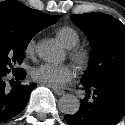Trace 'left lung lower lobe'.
Listing matches in <instances>:
<instances>
[{
  "mask_svg": "<svg viewBox=\"0 0 125 125\" xmlns=\"http://www.w3.org/2000/svg\"><path fill=\"white\" fill-rule=\"evenodd\" d=\"M86 93L93 90V101L89 95L81 101L79 111L65 115L70 125H116L125 116V79H104L92 86L83 85Z\"/></svg>",
  "mask_w": 125,
  "mask_h": 125,
  "instance_id": "0a47b994",
  "label": "left lung lower lobe"
}]
</instances>
